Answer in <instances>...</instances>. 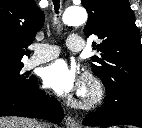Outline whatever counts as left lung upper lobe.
Masks as SVG:
<instances>
[{"label": "left lung upper lobe", "instance_id": "left-lung-upper-lobe-1", "mask_svg": "<svg viewBox=\"0 0 142 128\" xmlns=\"http://www.w3.org/2000/svg\"><path fill=\"white\" fill-rule=\"evenodd\" d=\"M89 18L84 33L96 35L94 73L106 88V99L142 95V45L128 0H81Z\"/></svg>", "mask_w": 142, "mask_h": 128}]
</instances>
